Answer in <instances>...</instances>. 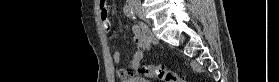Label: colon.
Instances as JSON below:
<instances>
[{
  "instance_id": "1",
  "label": "colon",
  "mask_w": 279,
  "mask_h": 82,
  "mask_svg": "<svg viewBox=\"0 0 279 82\" xmlns=\"http://www.w3.org/2000/svg\"><path fill=\"white\" fill-rule=\"evenodd\" d=\"M139 74L145 77L154 78L161 82H182L181 77L161 65L147 64L139 69Z\"/></svg>"
}]
</instances>
